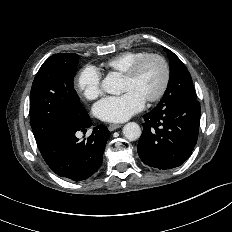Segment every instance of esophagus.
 I'll use <instances>...</instances> for the list:
<instances>
[{"instance_id":"obj_1","label":"esophagus","mask_w":232,"mask_h":232,"mask_svg":"<svg viewBox=\"0 0 232 232\" xmlns=\"http://www.w3.org/2000/svg\"><path fill=\"white\" fill-rule=\"evenodd\" d=\"M120 127H121L120 124H110L108 129H109V131H114V130L120 128Z\"/></svg>"}]
</instances>
